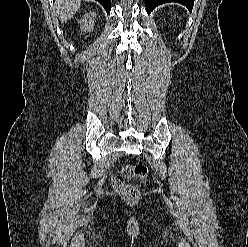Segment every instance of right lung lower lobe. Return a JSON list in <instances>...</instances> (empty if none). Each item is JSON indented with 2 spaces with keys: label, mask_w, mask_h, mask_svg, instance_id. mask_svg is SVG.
<instances>
[{
  "label": "right lung lower lobe",
  "mask_w": 248,
  "mask_h": 247,
  "mask_svg": "<svg viewBox=\"0 0 248 247\" xmlns=\"http://www.w3.org/2000/svg\"><path fill=\"white\" fill-rule=\"evenodd\" d=\"M96 1H98L100 4L103 5L107 13L110 12L111 0H96Z\"/></svg>",
  "instance_id": "98d812e1"
}]
</instances>
